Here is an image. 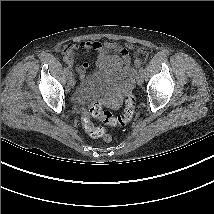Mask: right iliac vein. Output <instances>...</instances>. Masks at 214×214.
Masks as SVG:
<instances>
[{
  "label": "right iliac vein",
  "mask_w": 214,
  "mask_h": 214,
  "mask_svg": "<svg viewBox=\"0 0 214 214\" xmlns=\"http://www.w3.org/2000/svg\"><path fill=\"white\" fill-rule=\"evenodd\" d=\"M69 84H70V86H74L75 85V80H74L73 77L69 78Z\"/></svg>",
  "instance_id": "obj_1"
}]
</instances>
